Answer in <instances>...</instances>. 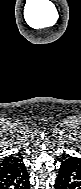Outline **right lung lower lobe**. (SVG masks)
<instances>
[{
	"label": "right lung lower lobe",
	"mask_w": 81,
	"mask_h": 189,
	"mask_svg": "<svg viewBox=\"0 0 81 189\" xmlns=\"http://www.w3.org/2000/svg\"><path fill=\"white\" fill-rule=\"evenodd\" d=\"M0 189H30L29 175L21 160L0 169Z\"/></svg>",
	"instance_id": "right-lung-lower-lobe-1"
}]
</instances>
